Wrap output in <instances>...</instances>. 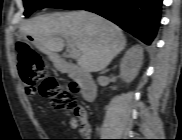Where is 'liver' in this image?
<instances>
[{"label": "liver", "instance_id": "1", "mask_svg": "<svg viewBox=\"0 0 182 140\" xmlns=\"http://www.w3.org/2000/svg\"><path fill=\"white\" fill-rule=\"evenodd\" d=\"M20 31L49 55L62 51V37H68L79 51L77 65L84 72L105 69L126 45L117 25L87 11L40 15L23 23Z\"/></svg>", "mask_w": 182, "mask_h": 140}]
</instances>
